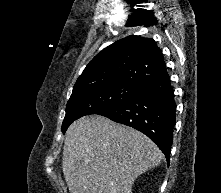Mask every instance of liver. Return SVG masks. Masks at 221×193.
I'll list each match as a JSON object with an SVG mask.
<instances>
[{
  "label": "liver",
  "mask_w": 221,
  "mask_h": 193,
  "mask_svg": "<svg viewBox=\"0 0 221 193\" xmlns=\"http://www.w3.org/2000/svg\"><path fill=\"white\" fill-rule=\"evenodd\" d=\"M161 160L146 135L103 116L82 117L65 134L62 169L71 193H131Z\"/></svg>",
  "instance_id": "liver-1"
}]
</instances>
